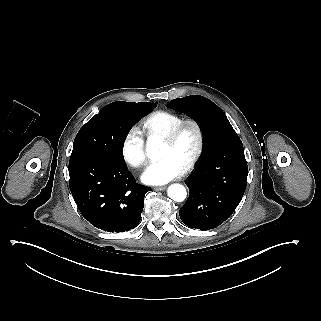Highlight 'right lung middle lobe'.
I'll list each match as a JSON object with an SVG mask.
<instances>
[{
	"label": "right lung middle lobe",
	"instance_id": "right-lung-middle-lobe-1",
	"mask_svg": "<svg viewBox=\"0 0 321 321\" xmlns=\"http://www.w3.org/2000/svg\"><path fill=\"white\" fill-rule=\"evenodd\" d=\"M157 103L113 102L103 107L78 132L71 157L96 155L125 163L123 146L130 129Z\"/></svg>",
	"mask_w": 321,
	"mask_h": 321
}]
</instances>
